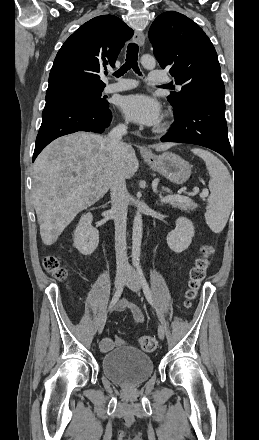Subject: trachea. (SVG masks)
<instances>
[{"instance_id": "3493384b", "label": "trachea", "mask_w": 259, "mask_h": 440, "mask_svg": "<svg viewBox=\"0 0 259 440\" xmlns=\"http://www.w3.org/2000/svg\"><path fill=\"white\" fill-rule=\"evenodd\" d=\"M138 50H139V48H138L137 44L130 43L128 45V47H127V55H126V62L117 72L114 73V75L116 77H120V76L124 75L131 68L136 73L141 75V73L139 71L138 63H137Z\"/></svg>"}]
</instances>
